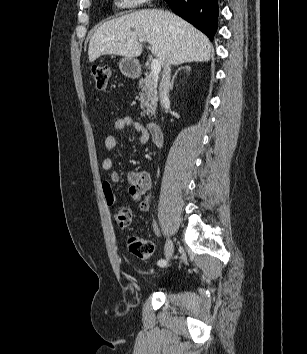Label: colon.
Returning a JSON list of instances; mask_svg holds the SVG:
<instances>
[{"label": "colon", "mask_w": 307, "mask_h": 354, "mask_svg": "<svg viewBox=\"0 0 307 354\" xmlns=\"http://www.w3.org/2000/svg\"><path fill=\"white\" fill-rule=\"evenodd\" d=\"M110 73L111 71L108 65L101 64L92 67V76L99 90L106 88ZM131 218V210L127 207H119L114 212L115 224L120 229L128 228L131 224ZM127 247L133 255L142 259L150 258L154 253L153 243L139 236L129 237Z\"/></svg>", "instance_id": "1"}]
</instances>
